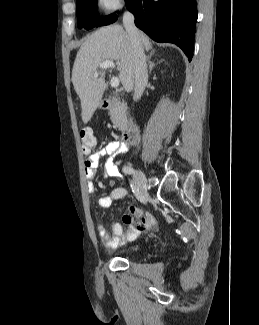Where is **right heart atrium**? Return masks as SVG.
Returning <instances> with one entry per match:
<instances>
[{"instance_id":"obj_1","label":"right heart atrium","mask_w":259,"mask_h":325,"mask_svg":"<svg viewBox=\"0 0 259 325\" xmlns=\"http://www.w3.org/2000/svg\"><path fill=\"white\" fill-rule=\"evenodd\" d=\"M124 2L125 0H97V5L102 11L112 13L119 10Z\"/></svg>"}]
</instances>
